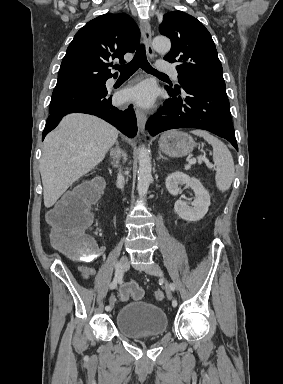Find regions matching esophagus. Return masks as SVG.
Segmentation results:
<instances>
[{
	"instance_id": "1",
	"label": "esophagus",
	"mask_w": 283,
	"mask_h": 384,
	"mask_svg": "<svg viewBox=\"0 0 283 384\" xmlns=\"http://www.w3.org/2000/svg\"><path fill=\"white\" fill-rule=\"evenodd\" d=\"M140 29L143 37V42L146 46L147 54L150 58L154 57V49L152 47V33L150 24L144 20H140ZM135 114L137 117V124L140 130H143L145 127L147 114L140 108L135 109Z\"/></svg>"
}]
</instances>
